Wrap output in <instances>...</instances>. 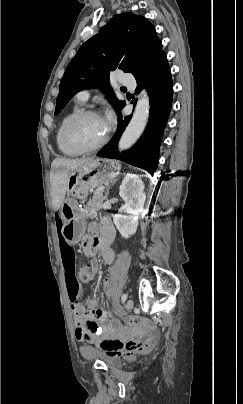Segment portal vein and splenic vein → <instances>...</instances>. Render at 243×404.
Listing matches in <instances>:
<instances>
[{
    "label": "portal vein and splenic vein",
    "instance_id": "obj_1",
    "mask_svg": "<svg viewBox=\"0 0 243 404\" xmlns=\"http://www.w3.org/2000/svg\"><path fill=\"white\" fill-rule=\"evenodd\" d=\"M102 190H104V186H102V188H97V192H102Z\"/></svg>",
    "mask_w": 243,
    "mask_h": 404
}]
</instances>
